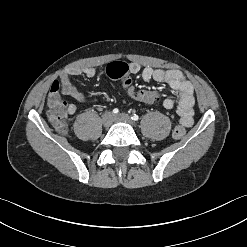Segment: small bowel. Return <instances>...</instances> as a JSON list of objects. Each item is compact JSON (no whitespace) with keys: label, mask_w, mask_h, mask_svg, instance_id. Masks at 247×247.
<instances>
[{"label":"small bowel","mask_w":247,"mask_h":247,"mask_svg":"<svg viewBox=\"0 0 247 247\" xmlns=\"http://www.w3.org/2000/svg\"><path fill=\"white\" fill-rule=\"evenodd\" d=\"M128 70L131 75L140 74L141 78L146 82L154 80L158 83L168 84L171 90L178 93V99L177 101L171 98L164 99L163 107L167 110L176 108L180 122L186 127L192 125L194 115L193 107L195 103L193 87L179 70L153 69L151 67L141 69V66L137 63H130ZM95 74L96 71L93 68H71L63 73L59 80L53 83L51 88H57L60 93L71 96L78 101H87L90 98L78 90L72 83L71 78L81 76L91 78L94 77ZM67 111L69 114H74L76 112V106L69 104Z\"/></svg>","instance_id":"1"}]
</instances>
